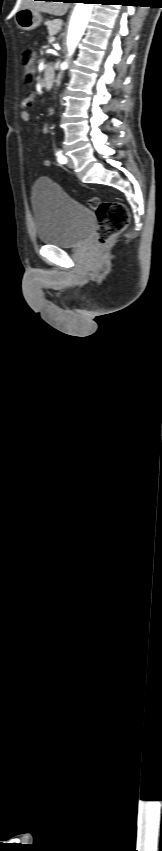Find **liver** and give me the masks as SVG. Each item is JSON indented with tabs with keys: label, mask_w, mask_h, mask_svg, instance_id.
I'll return each instance as SVG.
<instances>
[{
	"label": "liver",
	"mask_w": 162,
	"mask_h": 851,
	"mask_svg": "<svg viewBox=\"0 0 162 851\" xmlns=\"http://www.w3.org/2000/svg\"><path fill=\"white\" fill-rule=\"evenodd\" d=\"M17 5L19 9L30 8L38 12H46L55 16H63L69 8L68 3L54 1L19 0Z\"/></svg>",
	"instance_id": "1"
}]
</instances>
